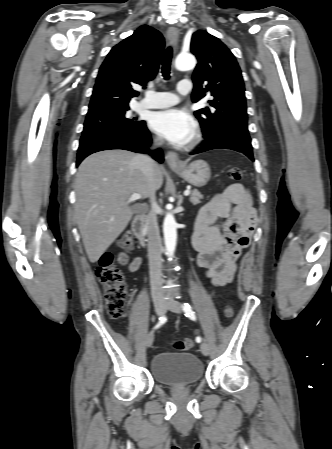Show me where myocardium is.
<instances>
[{"instance_id": "1", "label": "myocardium", "mask_w": 332, "mask_h": 449, "mask_svg": "<svg viewBox=\"0 0 332 449\" xmlns=\"http://www.w3.org/2000/svg\"><path fill=\"white\" fill-rule=\"evenodd\" d=\"M198 140H199V134H198V133H195V134L193 135V138H192V140H191L190 145L196 144V143L198 142Z\"/></svg>"}]
</instances>
